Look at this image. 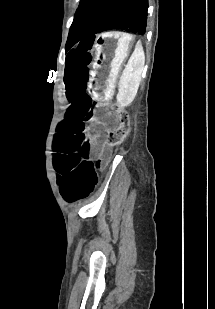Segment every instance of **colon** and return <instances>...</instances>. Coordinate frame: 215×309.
Instances as JSON below:
<instances>
[{
	"mask_svg": "<svg viewBox=\"0 0 215 309\" xmlns=\"http://www.w3.org/2000/svg\"><path fill=\"white\" fill-rule=\"evenodd\" d=\"M118 114L117 127L109 134L108 140L111 145H120L128 132L129 117L128 113L120 106H115Z\"/></svg>",
	"mask_w": 215,
	"mask_h": 309,
	"instance_id": "1",
	"label": "colon"
}]
</instances>
